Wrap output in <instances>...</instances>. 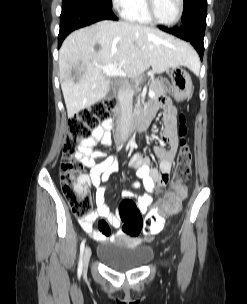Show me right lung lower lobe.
<instances>
[{
	"label": "right lung lower lobe",
	"instance_id": "right-lung-lower-lobe-1",
	"mask_svg": "<svg viewBox=\"0 0 247 304\" xmlns=\"http://www.w3.org/2000/svg\"><path fill=\"white\" fill-rule=\"evenodd\" d=\"M110 8L89 4L79 0H63L60 15L58 48L65 37L73 30L93 24L100 20H117Z\"/></svg>",
	"mask_w": 247,
	"mask_h": 304
}]
</instances>
